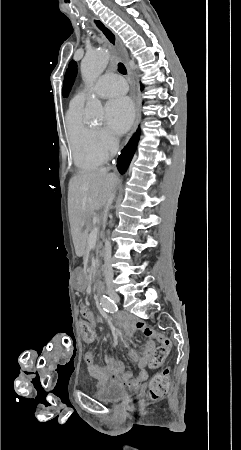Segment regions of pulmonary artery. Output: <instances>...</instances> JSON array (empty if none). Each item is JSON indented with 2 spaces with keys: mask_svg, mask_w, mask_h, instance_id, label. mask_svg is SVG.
Here are the masks:
<instances>
[{
  "mask_svg": "<svg viewBox=\"0 0 241 450\" xmlns=\"http://www.w3.org/2000/svg\"><path fill=\"white\" fill-rule=\"evenodd\" d=\"M126 91L125 79L121 78L120 74H102L95 85L93 92L104 102H117L120 92ZM89 90H81L74 98V101H85L88 97Z\"/></svg>",
  "mask_w": 241,
  "mask_h": 450,
  "instance_id": "1",
  "label": "pulmonary artery"
}]
</instances>
